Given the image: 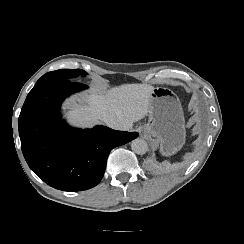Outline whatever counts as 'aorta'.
<instances>
[{"mask_svg": "<svg viewBox=\"0 0 244 244\" xmlns=\"http://www.w3.org/2000/svg\"><path fill=\"white\" fill-rule=\"evenodd\" d=\"M131 149L136 154L143 155L148 151V145L145 140L137 138L131 142Z\"/></svg>", "mask_w": 244, "mask_h": 244, "instance_id": "aorta-1", "label": "aorta"}]
</instances>
